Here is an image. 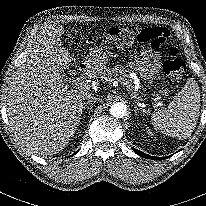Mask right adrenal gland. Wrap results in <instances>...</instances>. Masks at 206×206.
<instances>
[{
  "label": "right adrenal gland",
  "instance_id": "1",
  "mask_svg": "<svg viewBox=\"0 0 206 206\" xmlns=\"http://www.w3.org/2000/svg\"><path fill=\"white\" fill-rule=\"evenodd\" d=\"M86 108H89L90 110H92V108H93V103H92V101H88V102H84L83 103V112H84V110L86 109Z\"/></svg>",
  "mask_w": 206,
  "mask_h": 206
}]
</instances>
